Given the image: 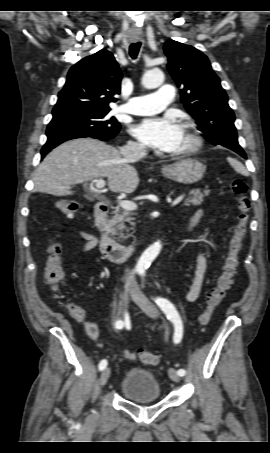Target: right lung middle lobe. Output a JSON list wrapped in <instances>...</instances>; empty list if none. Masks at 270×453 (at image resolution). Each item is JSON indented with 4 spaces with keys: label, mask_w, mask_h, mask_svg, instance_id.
<instances>
[{
    "label": "right lung middle lobe",
    "mask_w": 270,
    "mask_h": 453,
    "mask_svg": "<svg viewBox=\"0 0 270 453\" xmlns=\"http://www.w3.org/2000/svg\"><path fill=\"white\" fill-rule=\"evenodd\" d=\"M110 110L87 111L76 114L54 117L49 123L50 129L87 130L103 134L119 132L120 124L114 117L108 116Z\"/></svg>",
    "instance_id": "1"
}]
</instances>
